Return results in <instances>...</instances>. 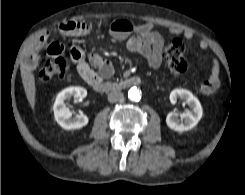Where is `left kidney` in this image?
<instances>
[{"label": "left kidney", "mask_w": 245, "mask_h": 195, "mask_svg": "<svg viewBox=\"0 0 245 195\" xmlns=\"http://www.w3.org/2000/svg\"><path fill=\"white\" fill-rule=\"evenodd\" d=\"M169 98L172 104H175L178 98L184 100L192 111L180 115L181 120L184 119V121H180L175 112L168 113L166 117L167 126L177 132L188 131L194 128L203 114V109L199 100L189 90L180 88L172 90Z\"/></svg>", "instance_id": "1"}]
</instances>
